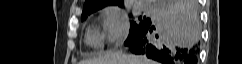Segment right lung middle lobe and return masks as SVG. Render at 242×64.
Listing matches in <instances>:
<instances>
[{"label": "right lung middle lobe", "mask_w": 242, "mask_h": 64, "mask_svg": "<svg viewBox=\"0 0 242 64\" xmlns=\"http://www.w3.org/2000/svg\"><path fill=\"white\" fill-rule=\"evenodd\" d=\"M89 14H91V13L82 14L81 20L82 21L85 20L87 18V15H89ZM150 24H151V19L146 18L145 16H140L138 22L132 21L130 33H129L127 40L125 41V44L129 43L134 37H136L139 33H141Z\"/></svg>", "instance_id": "right-lung-middle-lobe-1"}]
</instances>
